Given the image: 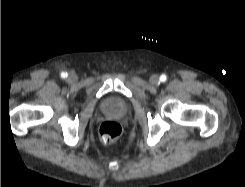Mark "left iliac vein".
Segmentation results:
<instances>
[{
	"label": "left iliac vein",
	"instance_id": "1",
	"mask_svg": "<svg viewBox=\"0 0 245 187\" xmlns=\"http://www.w3.org/2000/svg\"><path fill=\"white\" fill-rule=\"evenodd\" d=\"M160 82V78L158 75L154 74L150 77V83L152 85H157Z\"/></svg>",
	"mask_w": 245,
	"mask_h": 187
}]
</instances>
